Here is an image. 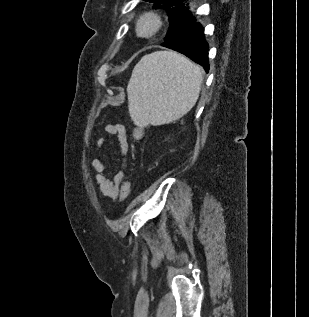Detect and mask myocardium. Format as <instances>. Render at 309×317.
<instances>
[{"mask_svg": "<svg viewBox=\"0 0 309 317\" xmlns=\"http://www.w3.org/2000/svg\"><path fill=\"white\" fill-rule=\"evenodd\" d=\"M162 27V21L157 14L146 13L137 22V32L144 38L155 36Z\"/></svg>", "mask_w": 309, "mask_h": 317, "instance_id": "obj_1", "label": "myocardium"}]
</instances>
